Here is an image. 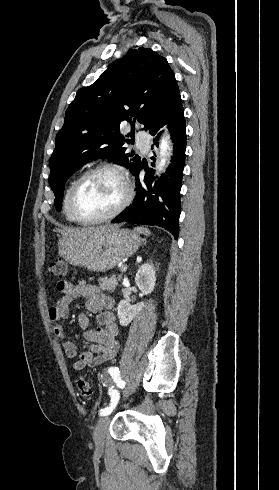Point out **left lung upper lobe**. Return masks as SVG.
I'll use <instances>...</instances> for the list:
<instances>
[{
  "mask_svg": "<svg viewBox=\"0 0 279 490\" xmlns=\"http://www.w3.org/2000/svg\"><path fill=\"white\" fill-rule=\"evenodd\" d=\"M178 97L175 74L166 58L144 47L129 50L96 82L79 89L66 110L49 162L56 209L60 211L66 180L85 163L108 159L131 168L133 173L140 157L125 153L123 145L130 140L120 134V123L125 120L132 124L134 139L135 120L148 130Z\"/></svg>",
  "mask_w": 279,
  "mask_h": 490,
  "instance_id": "1",
  "label": "left lung upper lobe"
}]
</instances>
